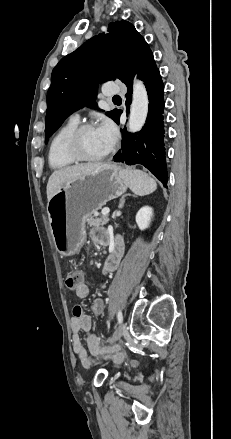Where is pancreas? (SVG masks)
Wrapping results in <instances>:
<instances>
[{
    "label": "pancreas",
    "instance_id": "pancreas-1",
    "mask_svg": "<svg viewBox=\"0 0 231 439\" xmlns=\"http://www.w3.org/2000/svg\"><path fill=\"white\" fill-rule=\"evenodd\" d=\"M109 221V218L106 216H101V217H94V216H90L89 218H87V224L88 227H98V226H103L106 225Z\"/></svg>",
    "mask_w": 231,
    "mask_h": 439
}]
</instances>
